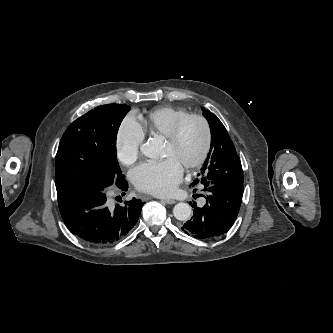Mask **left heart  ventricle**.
I'll return each mask as SVG.
<instances>
[{
  "label": "left heart ventricle",
  "instance_id": "1",
  "mask_svg": "<svg viewBox=\"0 0 333 333\" xmlns=\"http://www.w3.org/2000/svg\"><path fill=\"white\" fill-rule=\"evenodd\" d=\"M204 143V130L198 121L185 124L175 145L165 143L164 157L174 158L182 167L194 162L200 155Z\"/></svg>",
  "mask_w": 333,
  "mask_h": 333
}]
</instances>
